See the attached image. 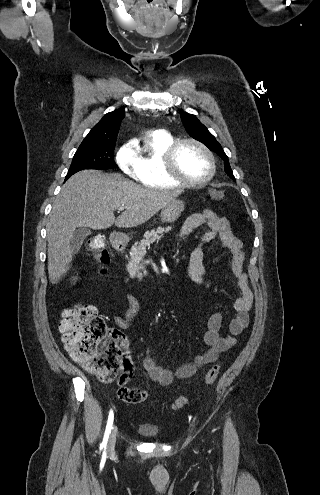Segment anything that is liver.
<instances>
[{"mask_svg":"<svg viewBox=\"0 0 320 495\" xmlns=\"http://www.w3.org/2000/svg\"><path fill=\"white\" fill-rule=\"evenodd\" d=\"M182 190L147 189L120 174L83 170L74 174L57 196L47 223L48 274L52 284L67 272L74 251L70 239L78 227L94 230L141 225L174 201ZM126 211L116 219L114 211Z\"/></svg>","mask_w":320,"mask_h":495,"instance_id":"obj_1","label":"liver"}]
</instances>
